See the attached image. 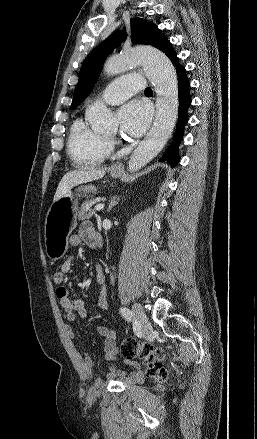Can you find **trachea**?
I'll list each match as a JSON object with an SVG mask.
<instances>
[{"label":"trachea","instance_id":"obj_1","mask_svg":"<svg viewBox=\"0 0 257 439\" xmlns=\"http://www.w3.org/2000/svg\"><path fill=\"white\" fill-rule=\"evenodd\" d=\"M149 92H152V89L150 87L145 89V93H149Z\"/></svg>","mask_w":257,"mask_h":439}]
</instances>
